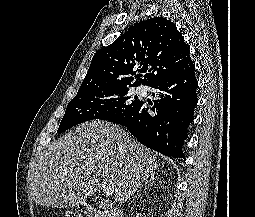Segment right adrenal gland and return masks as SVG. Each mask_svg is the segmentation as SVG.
<instances>
[{
	"label": "right adrenal gland",
	"mask_w": 255,
	"mask_h": 217,
	"mask_svg": "<svg viewBox=\"0 0 255 217\" xmlns=\"http://www.w3.org/2000/svg\"><path fill=\"white\" fill-rule=\"evenodd\" d=\"M154 183H155V177L153 175V176H150L149 179L145 180L144 186L146 187L147 184L151 185V184H154ZM141 188H143V186L140 187L139 190H137L136 195L133 197V200L129 203V205L133 204L135 202V199L139 195V191H140Z\"/></svg>",
	"instance_id": "obj_1"
}]
</instances>
